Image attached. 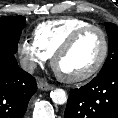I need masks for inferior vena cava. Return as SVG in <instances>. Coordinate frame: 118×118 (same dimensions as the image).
I'll use <instances>...</instances> for the list:
<instances>
[{
    "instance_id": "obj_1",
    "label": "inferior vena cava",
    "mask_w": 118,
    "mask_h": 118,
    "mask_svg": "<svg viewBox=\"0 0 118 118\" xmlns=\"http://www.w3.org/2000/svg\"><path fill=\"white\" fill-rule=\"evenodd\" d=\"M20 63L21 68L29 73H33L37 65L31 58H23Z\"/></svg>"
}]
</instances>
